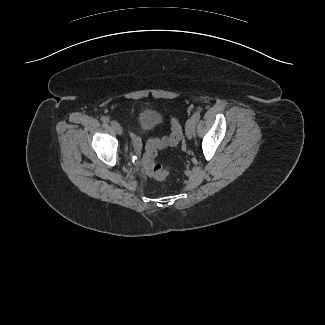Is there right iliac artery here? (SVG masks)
Masks as SVG:
<instances>
[{
  "label": "right iliac artery",
  "instance_id": "82829eb1",
  "mask_svg": "<svg viewBox=\"0 0 325 325\" xmlns=\"http://www.w3.org/2000/svg\"><path fill=\"white\" fill-rule=\"evenodd\" d=\"M101 120L103 121V122H109V118H107V117H105V116H102L101 117Z\"/></svg>",
  "mask_w": 325,
  "mask_h": 325
}]
</instances>
